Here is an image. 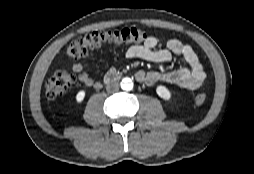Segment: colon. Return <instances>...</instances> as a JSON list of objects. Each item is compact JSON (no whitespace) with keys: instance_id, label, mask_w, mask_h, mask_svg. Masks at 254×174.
Segmentation results:
<instances>
[{"instance_id":"5ec220e1","label":"colon","mask_w":254,"mask_h":174,"mask_svg":"<svg viewBox=\"0 0 254 174\" xmlns=\"http://www.w3.org/2000/svg\"><path fill=\"white\" fill-rule=\"evenodd\" d=\"M146 39L143 30L135 27L120 30L94 31L75 41L67 48V55L71 58H81L90 51L105 44L141 43ZM75 83V76L67 71H58L48 80L45 86L46 96L53 100L62 96ZM207 95L199 93L195 96V103L201 105L206 101Z\"/></svg>"}]
</instances>
